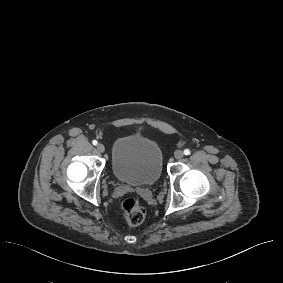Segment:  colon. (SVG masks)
<instances>
[{
  "label": "colon",
  "instance_id": "obj_1",
  "mask_svg": "<svg viewBox=\"0 0 283 283\" xmlns=\"http://www.w3.org/2000/svg\"><path fill=\"white\" fill-rule=\"evenodd\" d=\"M121 212L124 221L129 226H138L145 220L146 210L137 198L124 199L121 203Z\"/></svg>",
  "mask_w": 283,
  "mask_h": 283
}]
</instances>
